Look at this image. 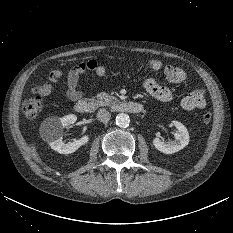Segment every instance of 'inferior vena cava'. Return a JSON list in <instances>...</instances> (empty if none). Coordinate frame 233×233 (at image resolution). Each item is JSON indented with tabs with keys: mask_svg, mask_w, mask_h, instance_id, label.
<instances>
[{
	"mask_svg": "<svg viewBox=\"0 0 233 233\" xmlns=\"http://www.w3.org/2000/svg\"><path fill=\"white\" fill-rule=\"evenodd\" d=\"M97 118L99 121H101L103 123H107L111 118V114L106 109H100L97 113Z\"/></svg>",
	"mask_w": 233,
	"mask_h": 233,
	"instance_id": "602c4592",
	"label": "inferior vena cava"
}]
</instances>
